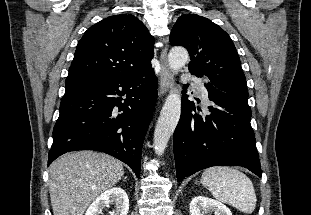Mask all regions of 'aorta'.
Instances as JSON below:
<instances>
[{"label": "aorta", "instance_id": "aorta-1", "mask_svg": "<svg viewBox=\"0 0 311 215\" xmlns=\"http://www.w3.org/2000/svg\"><path fill=\"white\" fill-rule=\"evenodd\" d=\"M189 54L183 47H173L168 54V64L171 70L177 72L187 63ZM181 114V97L175 90H171L162 107L156 123L153 146L156 154L162 155L167 143L174 133Z\"/></svg>", "mask_w": 311, "mask_h": 215}]
</instances>
